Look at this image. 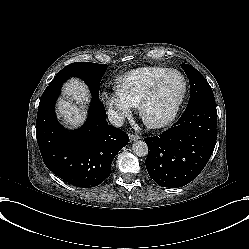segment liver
Listing matches in <instances>:
<instances>
[{"label": "liver", "instance_id": "liver-1", "mask_svg": "<svg viewBox=\"0 0 249 249\" xmlns=\"http://www.w3.org/2000/svg\"><path fill=\"white\" fill-rule=\"evenodd\" d=\"M90 91L85 83L72 78L62 87V98L56 103V111L61 122L69 128L81 126L87 117Z\"/></svg>", "mask_w": 249, "mask_h": 249}]
</instances>
